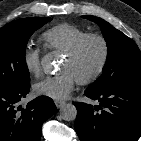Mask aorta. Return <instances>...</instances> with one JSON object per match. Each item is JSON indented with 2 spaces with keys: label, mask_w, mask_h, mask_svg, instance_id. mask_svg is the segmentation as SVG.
<instances>
[{
  "label": "aorta",
  "mask_w": 141,
  "mask_h": 141,
  "mask_svg": "<svg viewBox=\"0 0 141 141\" xmlns=\"http://www.w3.org/2000/svg\"><path fill=\"white\" fill-rule=\"evenodd\" d=\"M42 68L45 72H52L54 69L53 58L51 55H45L41 60ZM77 109L73 104H65L60 109V116L65 121L75 120Z\"/></svg>",
  "instance_id": "762f6f07"
}]
</instances>
